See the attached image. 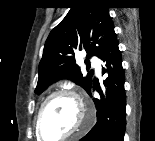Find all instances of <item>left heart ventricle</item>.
<instances>
[{
  "label": "left heart ventricle",
  "mask_w": 155,
  "mask_h": 141,
  "mask_svg": "<svg viewBox=\"0 0 155 141\" xmlns=\"http://www.w3.org/2000/svg\"><path fill=\"white\" fill-rule=\"evenodd\" d=\"M81 121L79 106L67 96H56L44 107L40 126L46 140H55L73 131Z\"/></svg>",
  "instance_id": "b2bd125f"
}]
</instances>
